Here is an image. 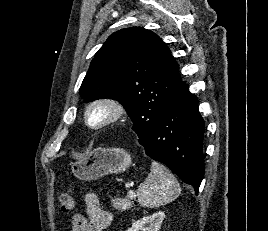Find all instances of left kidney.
<instances>
[{
    "label": "left kidney",
    "mask_w": 268,
    "mask_h": 231,
    "mask_svg": "<svg viewBox=\"0 0 268 231\" xmlns=\"http://www.w3.org/2000/svg\"><path fill=\"white\" fill-rule=\"evenodd\" d=\"M164 218V212H157L134 222L127 231H159Z\"/></svg>",
    "instance_id": "obj_1"
}]
</instances>
